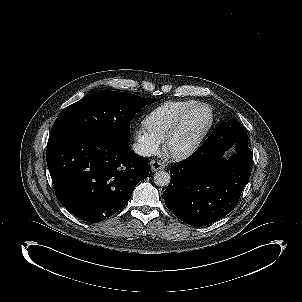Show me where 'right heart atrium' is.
I'll use <instances>...</instances> for the list:
<instances>
[{
  "label": "right heart atrium",
  "mask_w": 302,
  "mask_h": 302,
  "mask_svg": "<svg viewBox=\"0 0 302 302\" xmlns=\"http://www.w3.org/2000/svg\"><path fill=\"white\" fill-rule=\"evenodd\" d=\"M136 149L140 154L155 153L160 146V139L153 136L144 129L140 128L136 131Z\"/></svg>",
  "instance_id": "obj_1"
}]
</instances>
